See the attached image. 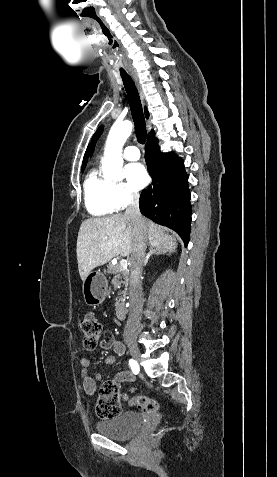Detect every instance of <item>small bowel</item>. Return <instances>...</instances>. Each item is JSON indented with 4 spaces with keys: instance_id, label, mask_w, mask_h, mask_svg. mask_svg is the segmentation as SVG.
<instances>
[{
    "instance_id": "1",
    "label": "small bowel",
    "mask_w": 277,
    "mask_h": 477,
    "mask_svg": "<svg viewBox=\"0 0 277 477\" xmlns=\"http://www.w3.org/2000/svg\"><path fill=\"white\" fill-rule=\"evenodd\" d=\"M101 348L108 350L112 349L117 355L121 356L125 352V346L124 344L117 340L112 333L106 332L104 334V337L100 343ZM95 358H89V357H84L81 359V382H82V387L85 391L86 394L93 396L96 392V387H97V381L102 380V374L101 373H96L95 377H92L89 374V369L93 363ZM117 358L115 356H108L103 360V364L105 365H111L115 363ZM135 381V375L130 372V371H121L116 374L115 376V382L116 383H122V382H134ZM128 405H132L131 402H126Z\"/></svg>"
}]
</instances>
